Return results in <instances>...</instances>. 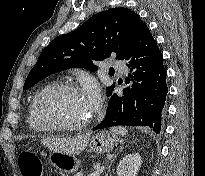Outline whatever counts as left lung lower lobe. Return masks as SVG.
Returning a JSON list of instances; mask_svg holds the SVG:
<instances>
[{"label": "left lung lower lobe", "instance_id": "left-lung-lower-lobe-1", "mask_svg": "<svg viewBox=\"0 0 205 176\" xmlns=\"http://www.w3.org/2000/svg\"><path fill=\"white\" fill-rule=\"evenodd\" d=\"M121 60L132 72V86L123 96L114 94L104 120L93 130L112 126H149L156 133L161 130V119L168 92L163 55L147 25H143ZM109 96L111 93L108 94Z\"/></svg>", "mask_w": 205, "mask_h": 176}]
</instances>
